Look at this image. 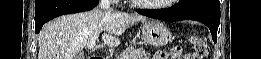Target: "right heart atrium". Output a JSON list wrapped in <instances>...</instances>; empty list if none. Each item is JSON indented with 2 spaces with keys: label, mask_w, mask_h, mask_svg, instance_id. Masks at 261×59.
I'll return each instance as SVG.
<instances>
[{
  "label": "right heart atrium",
  "mask_w": 261,
  "mask_h": 59,
  "mask_svg": "<svg viewBox=\"0 0 261 59\" xmlns=\"http://www.w3.org/2000/svg\"><path fill=\"white\" fill-rule=\"evenodd\" d=\"M110 1H112V2H118V0H110Z\"/></svg>",
  "instance_id": "d8ad5b80"
}]
</instances>
